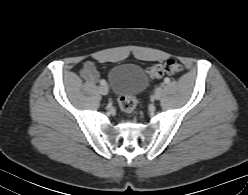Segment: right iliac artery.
Returning <instances> with one entry per match:
<instances>
[{"label":"right iliac artery","mask_w":248,"mask_h":195,"mask_svg":"<svg viewBox=\"0 0 248 195\" xmlns=\"http://www.w3.org/2000/svg\"><path fill=\"white\" fill-rule=\"evenodd\" d=\"M100 83H101V85H105L106 84V82L104 80H102Z\"/></svg>","instance_id":"right-iliac-artery-1"}]
</instances>
